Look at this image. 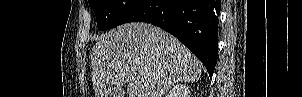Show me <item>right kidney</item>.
<instances>
[{
  "label": "right kidney",
  "mask_w": 302,
  "mask_h": 97,
  "mask_svg": "<svg viewBox=\"0 0 302 97\" xmlns=\"http://www.w3.org/2000/svg\"><path fill=\"white\" fill-rule=\"evenodd\" d=\"M189 96H190L189 87L183 84L174 86V88L167 95V97H189Z\"/></svg>",
  "instance_id": "ca27d5eb"
}]
</instances>
